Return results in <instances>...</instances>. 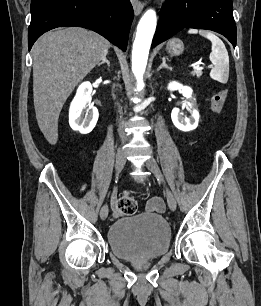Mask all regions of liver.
<instances>
[{
    "mask_svg": "<svg viewBox=\"0 0 261 306\" xmlns=\"http://www.w3.org/2000/svg\"><path fill=\"white\" fill-rule=\"evenodd\" d=\"M109 48L105 38L80 27L49 31L35 42L34 108L38 126L50 144L58 140V118L65 101Z\"/></svg>",
    "mask_w": 261,
    "mask_h": 306,
    "instance_id": "obj_1",
    "label": "liver"
}]
</instances>
